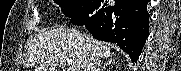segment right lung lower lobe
<instances>
[{
  "label": "right lung lower lobe",
  "mask_w": 181,
  "mask_h": 71,
  "mask_svg": "<svg viewBox=\"0 0 181 71\" xmlns=\"http://www.w3.org/2000/svg\"><path fill=\"white\" fill-rule=\"evenodd\" d=\"M149 1L115 0V5L109 6L107 0H98L84 14L71 17L70 22L84 25L96 39L117 43L136 62L149 34Z\"/></svg>",
  "instance_id": "1"
}]
</instances>
